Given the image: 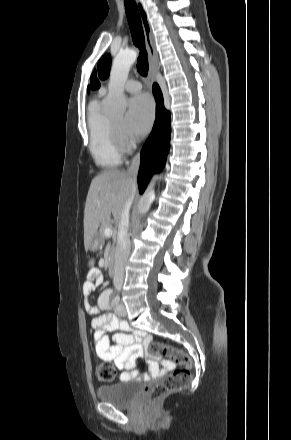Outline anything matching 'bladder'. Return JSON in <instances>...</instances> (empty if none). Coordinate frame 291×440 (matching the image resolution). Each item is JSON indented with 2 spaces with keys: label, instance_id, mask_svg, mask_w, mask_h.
<instances>
[{
  "label": "bladder",
  "instance_id": "bladder-1",
  "mask_svg": "<svg viewBox=\"0 0 291 440\" xmlns=\"http://www.w3.org/2000/svg\"><path fill=\"white\" fill-rule=\"evenodd\" d=\"M135 384L133 381L121 380L111 385L99 387L96 394L100 400L115 406H129L140 395V388Z\"/></svg>",
  "mask_w": 291,
  "mask_h": 440
}]
</instances>
